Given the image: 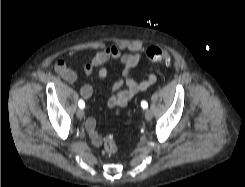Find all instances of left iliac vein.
Wrapping results in <instances>:
<instances>
[{
    "label": "left iliac vein",
    "mask_w": 245,
    "mask_h": 187,
    "mask_svg": "<svg viewBox=\"0 0 245 187\" xmlns=\"http://www.w3.org/2000/svg\"><path fill=\"white\" fill-rule=\"evenodd\" d=\"M144 115L147 121H150L153 117L152 111L150 109H145Z\"/></svg>",
    "instance_id": "4c4485c4"
}]
</instances>
